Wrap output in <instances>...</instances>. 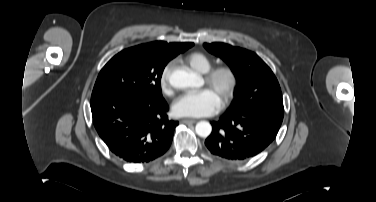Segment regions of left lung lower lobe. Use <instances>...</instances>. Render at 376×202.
<instances>
[{
  "mask_svg": "<svg viewBox=\"0 0 376 202\" xmlns=\"http://www.w3.org/2000/svg\"><path fill=\"white\" fill-rule=\"evenodd\" d=\"M283 117L261 109L242 114L227 111L213 121L212 133L205 145L216 156L239 161L253 157L275 139Z\"/></svg>",
  "mask_w": 376,
  "mask_h": 202,
  "instance_id": "1",
  "label": "left lung lower lobe"
}]
</instances>
